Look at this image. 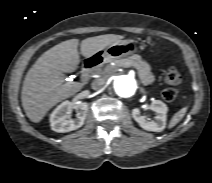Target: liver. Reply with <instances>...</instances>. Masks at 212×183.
Listing matches in <instances>:
<instances>
[{"instance_id": "obj_1", "label": "liver", "mask_w": 212, "mask_h": 183, "mask_svg": "<svg viewBox=\"0 0 212 183\" xmlns=\"http://www.w3.org/2000/svg\"><path fill=\"white\" fill-rule=\"evenodd\" d=\"M123 36L106 34L82 40L81 54L92 57ZM78 39L61 42L44 52L27 72L23 81L21 101L27 117L40 122L45 114L60 101L81 90L80 82L67 81L64 72H74L79 63Z\"/></svg>"}]
</instances>
